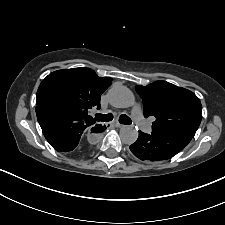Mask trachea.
Instances as JSON below:
<instances>
[{
	"mask_svg": "<svg viewBox=\"0 0 225 225\" xmlns=\"http://www.w3.org/2000/svg\"><path fill=\"white\" fill-rule=\"evenodd\" d=\"M112 119H113V115L111 113H109V114H96L95 115L96 121L108 122V121H111ZM119 122L121 124H131L132 123L131 119L125 114L120 115Z\"/></svg>",
	"mask_w": 225,
	"mask_h": 225,
	"instance_id": "trachea-1",
	"label": "trachea"
}]
</instances>
